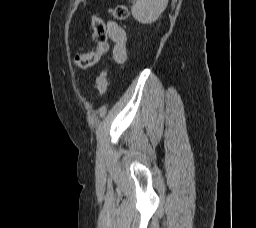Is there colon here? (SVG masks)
<instances>
[{"label":"colon","instance_id":"1","mask_svg":"<svg viewBox=\"0 0 256 228\" xmlns=\"http://www.w3.org/2000/svg\"><path fill=\"white\" fill-rule=\"evenodd\" d=\"M128 14V8L124 4L116 6L112 12L113 18L117 21L126 19ZM91 25L93 29V40L99 45V48L96 51L81 54L75 58L76 65L81 68H87L99 61L102 54L101 45L104 44L107 38V28L104 21L98 15L95 14L91 17ZM108 74L109 72L105 70L97 78L96 85L100 96L105 95L108 90Z\"/></svg>","mask_w":256,"mask_h":228}]
</instances>
